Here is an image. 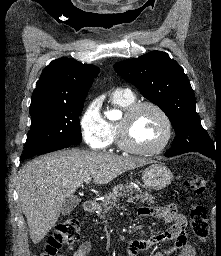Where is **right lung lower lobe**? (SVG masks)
I'll return each instance as SVG.
<instances>
[{
    "label": "right lung lower lobe",
    "instance_id": "right-lung-lower-lobe-1",
    "mask_svg": "<svg viewBox=\"0 0 221 256\" xmlns=\"http://www.w3.org/2000/svg\"><path fill=\"white\" fill-rule=\"evenodd\" d=\"M71 145L69 144H62V145H57V146H54V147H51V148H48L42 152H40L39 154L37 155H41V154H45V153H49V152H52V151H56V150H60V149H64V148H67V147H70Z\"/></svg>",
    "mask_w": 221,
    "mask_h": 256
}]
</instances>
